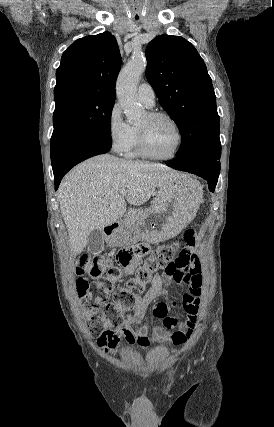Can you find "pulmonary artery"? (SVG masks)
Listing matches in <instances>:
<instances>
[{
    "mask_svg": "<svg viewBox=\"0 0 274 427\" xmlns=\"http://www.w3.org/2000/svg\"><path fill=\"white\" fill-rule=\"evenodd\" d=\"M139 101L147 108L155 106V93L152 86L147 82L140 83L137 91Z\"/></svg>",
    "mask_w": 274,
    "mask_h": 427,
    "instance_id": "obj_1",
    "label": "pulmonary artery"
}]
</instances>
